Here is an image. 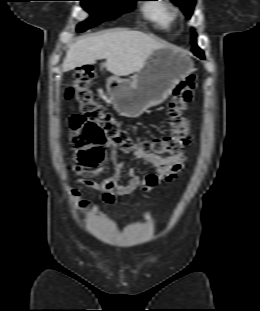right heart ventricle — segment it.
<instances>
[{"instance_id": "1", "label": "right heart ventricle", "mask_w": 260, "mask_h": 311, "mask_svg": "<svg viewBox=\"0 0 260 311\" xmlns=\"http://www.w3.org/2000/svg\"><path fill=\"white\" fill-rule=\"evenodd\" d=\"M143 14L146 19L162 30L171 29L176 21L174 9L164 0L144 5Z\"/></svg>"}]
</instances>
